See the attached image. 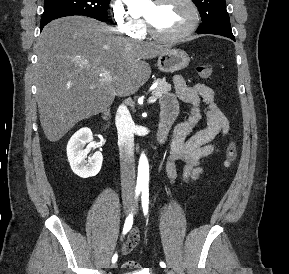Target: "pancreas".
I'll use <instances>...</instances> for the list:
<instances>
[{"instance_id": "cf45deb5", "label": "pancreas", "mask_w": 289, "mask_h": 274, "mask_svg": "<svg viewBox=\"0 0 289 274\" xmlns=\"http://www.w3.org/2000/svg\"><path fill=\"white\" fill-rule=\"evenodd\" d=\"M157 87L153 90L152 95L161 98L164 95L168 94L171 91V86L166 82L165 78L157 79Z\"/></svg>"}]
</instances>
